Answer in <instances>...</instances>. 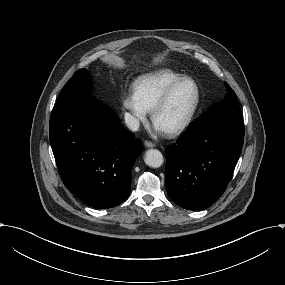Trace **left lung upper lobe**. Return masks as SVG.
I'll use <instances>...</instances> for the list:
<instances>
[{"mask_svg": "<svg viewBox=\"0 0 285 285\" xmlns=\"http://www.w3.org/2000/svg\"><path fill=\"white\" fill-rule=\"evenodd\" d=\"M225 86H226V88L228 90V93H227L226 97L222 101H220L219 103H214L213 106H211L208 109V111H210V110H212L214 108L220 107V106L229 105V104H237L238 103V100L236 98L235 92L231 89V87L226 82H225Z\"/></svg>", "mask_w": 285, "mask_h": 285, "instance_id": "1", "label": "left lung upper lobe"}]
</instances>
